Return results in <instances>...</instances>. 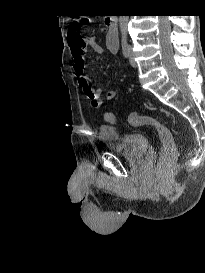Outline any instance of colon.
Returning a JSON list of instances; mask_svg holds the SVG:
<instances>
[{
  "label": "colon",
  "mask_w": 205,
  "mask_h": 273,
  "mask_svg": "<svg viewBox=\"0 0 205 273\" xmlns=\"http://www.w3.org/2000/svg\"><path fill=\"white\" fill-rule=\"evenodd\" d=\"M86 24L85 17H75L73 22L69 27V37L70 41L78 44L80 46H85L86 41L85 38L81 34L82 27ZM105 119L108 122L115 123L117 118L114 114L107 112L105 114ZM129 124L135 127L138 126H149L154 128L161 140L162 143V153H161V163L160 168L168 169L174 163L177 157V148L173 140V136L171 131L156 120L153 117L145 116V115H138L137 113H131L129 115Z\"/></svg>",
  "instance_id": "1"
}]
</instances>
